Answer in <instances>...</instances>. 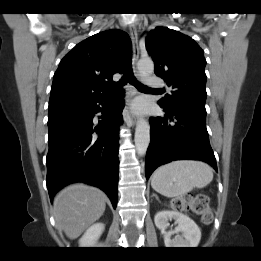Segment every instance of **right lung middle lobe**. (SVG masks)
Wrapping results in <instances>:
<instances>
[{
  "label": "right lung middle lobe",
  "instance_id": "right-lung-middle-lobe-1",
  "mask_svg": "<svg viewBox=\"0 0 261 261\" xmlns=\"http://www.w3.org/2000/svg\"><path fill=\"white\" fill-rule=\"evenodd\" d=\"M66 104H70V103H53V104H49V108L48 109H54V108H57V107H60V106L66 105Z\"/></svg>",
  "mask_w": 261,
  "mask_h": 261
}]
</instances>
